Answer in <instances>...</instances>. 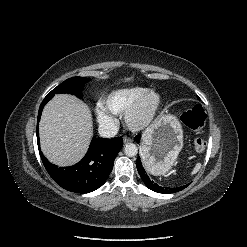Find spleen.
I'll return each instance as SVG.
<instances>
[{"instance_id":"obj_1","label":"spleen","mask_w":247,"mask_h":247,"mask_svg":"<svg viewBox=\"0 0 247 247\" xmlns=\"http://www.w3.org/2000/svg\"><path fill=\"white\" fill-rule=\"evenodd\" d=\"M201 167V164L200 163H197L196 166L194 167L193 171H192V174H195L199 171Z\"/></svg>"}]
</instances>
